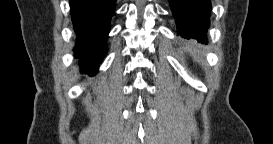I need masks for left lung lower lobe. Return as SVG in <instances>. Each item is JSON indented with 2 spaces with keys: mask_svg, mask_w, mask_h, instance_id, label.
<instances>
[{
  "mask_svg": "<svg viewBox=\"0 0 273 144\" xmlns=\"http://www.w3.org/2000/svg\"><path fill=\"white\" fill-rule=\"evenodd\" d=\"M177 23L178 34L207 43V28L211 12L210 0H169Z\"/></svg>",
  "mask_w": 273,
  "mask_h": 144,
  "instance_id": "0a47b994",
  "label": "left lung lower lobe"
}]
</instances>
